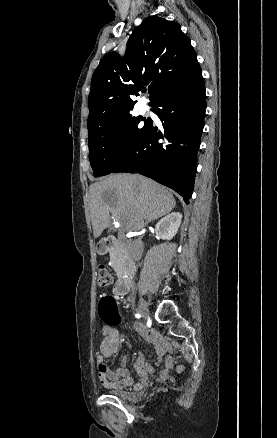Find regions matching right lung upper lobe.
Masks as SVG:
<instances>
[{"instance_id": "right-lung-upper-lobe-1", "label": "right lung upper lobe", "mask_w": 277, "mask_h": 438, "mask_svg": "<svg viewBox=\"0 0 277 438\" xmlns=\"http://www.w3.org/2000/svg\"><path fill=\"white\" fill-rule=\"evenodd\" d=\"M179 66L169 71L166 64ZM201 71L190 39L180 25L150 16L134 29L124 60L108 53L100 61L91 81L87 125L93 126L131 114L138 92L148 86L150 103L165 89Z\"/></svg>"}]
</instances>
